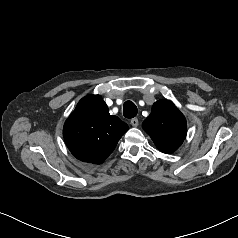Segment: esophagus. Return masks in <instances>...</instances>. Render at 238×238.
<instances>
[{"label":"esophagus","instance_id":"1","mask_svg":"<svg viewBox=\"0 0 238 238\" xmlns=\"http://www.w3.org/2000/svg\"><path fill=\"white\" fill-rule=\"evenodd\" d=\"M130 123L133 127H137L139 125V120L138 118H133L131 119Z\"/></svg>","mask_w":238,"mask_h":238}]
</instances>
